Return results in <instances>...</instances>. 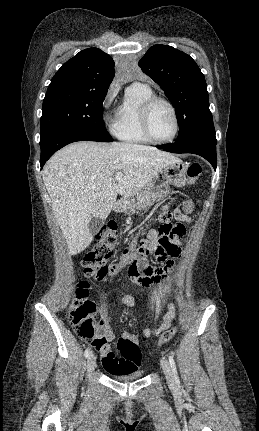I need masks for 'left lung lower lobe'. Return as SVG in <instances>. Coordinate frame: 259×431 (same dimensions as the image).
I'll list each match as a JSON object with an SVG mask.
<instances>
[{
	"mask_svg": "<svg viewBox=\"0 0 259 431\" xmlns=\"http://www.w3.org/2000/svg\"><path fill=\"white\" fill-rule=\"evenodd\" d=\"M157 148L176 153H192L200 155L208 160L213 166L214 170H216V140L197 137L189 140L176 141L174 144L169 143L159 145Z\"/></svg>",
	"mask_w": 259,
	"mask_h": 431,
	"instance_id": "left-lung-lower-lobe-1",
	"label": "left lung lower lobe"
}]
</instances>
